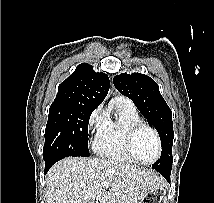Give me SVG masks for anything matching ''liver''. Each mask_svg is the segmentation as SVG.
<instances>
[{"mask_svg": "<svg viewBox=\"0 0 214 203\" xmlns=\"http://www.w3.org/2000/svg\"><path fill=\"white\" fill-rule=\"evenodd\" d=\"M110 182L106 191L103 182ZM152 170L98 158H66L46 176L47 203H140L147 192L164 186Z\"/></svg>", "mask_w": 214, "mask_h": 203, "instance_id": "1", "label": "liver"}]
</instances>
